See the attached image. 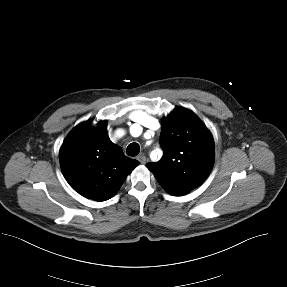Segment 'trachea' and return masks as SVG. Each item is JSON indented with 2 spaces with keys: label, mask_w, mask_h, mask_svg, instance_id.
<instances>
[{
  "label": "trachea",
  "mask_w": 287,
  "mask_h": 287,
  "mask_svg": "<svg viewBox=\"0 0 287 287\" xmlns=\"http://www.w3.org/2000/svg\"><path fill=\"white\" fill-rule=\"evenodd\" d=\"M140 152V146L138 143H131L128 145L127 150H126V154L128 156H132L135 157L139 154Z\"/></svg>",
  "instance_id": "1"
}]
</instances>
